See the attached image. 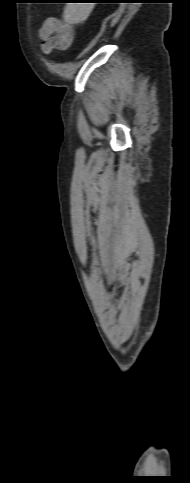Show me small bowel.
<instances>
[{
  "instance_id": "small-bowel-1",
  "label": "small bowel",
  "mask_w": 190,
  "mask_h": 483,
  "mask_svg": "<svg viewBox=\"0 0 190 483\" xmlns=\"http://www.w3.org/2000/svg\"><path fill=\"white\" fill-rule=\"evenodd\" d=\"M37 36L45 54H50L54 49L67 48L74 38L72 29L55 18H47Z\"/></svg>"
}]
</instances>
